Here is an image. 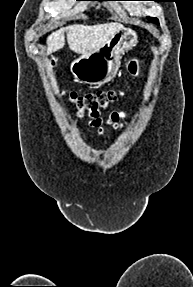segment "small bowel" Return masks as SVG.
I'll return each mask as SVG.
<instances>
[{"mask_svg":"<svg viewBox=\"0 0 193 287\" xmlns=\"http://www.w3.org/2000/svg\"><path fill=\"white\" fill-rule=\"evenodd\" d=\"M120 117H121V114H120V113L114 112V113L111 114L110 119H109V122L116 124V123L119 121ZM92 125H93L95 128L98 129V132H99L100 134L103 133L102 121H101V120H99V119H98V120H94V121L92 122Z\"/></svg>","mask_w":193,"mask_h":287,"instance_id":"obj_1","label":"small bowel"}]
</instances>
